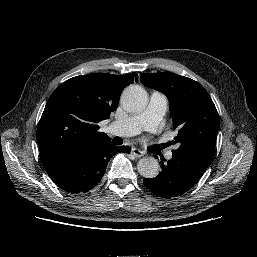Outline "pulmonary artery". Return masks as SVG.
I'll return each instance as SVG.
<instances>
[{"label": "pulmonary artery", "mask_w": 257, "mask_h": 257, "mask_svg": "<svg viewBox=\"0 0 257 257\" xmlns=\"http://www.w3.org/2000/svg\"><path fill=\"white\" fill-rule=\"evenodd\" d=\"M168 108L167 97L158 91L152 92L147 107L140 113L114 120L109 125V131L117 136H133L143 130L156 128ZM167 159L173 157L172 150L165 154Z\"/></svg>", "instance_id": "pulmonary-artery-1"}]
</instances>
